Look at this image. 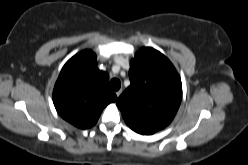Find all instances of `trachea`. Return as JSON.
<instances>
[{
  "mask_svg": "<svg viewBox=\"0 0 248 165\" xmlns=\"http://www.w3.org/2000/svg\"><path fill=\"white\" fill-rule=\"evenodd\" d=\"M109 85H110L111 90L117 91V90H119L120 87H121V82H120V80L114 78V79H112V80L110 81V84H109Z\"/></svg>",
  "mask_w": 248,
  "mask_h": 165,
  "instance_id": "obj_1",
  "label": "trachea"
}]
</instances>
